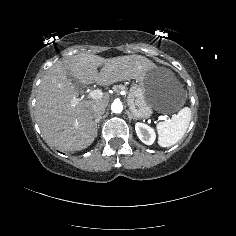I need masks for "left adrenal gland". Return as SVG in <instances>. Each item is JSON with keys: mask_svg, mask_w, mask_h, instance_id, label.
Returning <instances> with one entry per match:
<instances>
[{"mask_svg": "<svg viewBox=\"0 0 236 236\" xmlns=\"http://www.w3.org/2000/svg\"><path fill=\"white\" fill-rule=\"evenodd\" d=\"M126 113H127V115H128L129 120H131V119H137V118H135V117L132 115V113H130L128 110H126Z\"/></svg>", "mask_w": 236, "mask_h": 236, "instance_id": "left-adrenal-gland-1", "label": "left adrenal gland"}]
</instances>
